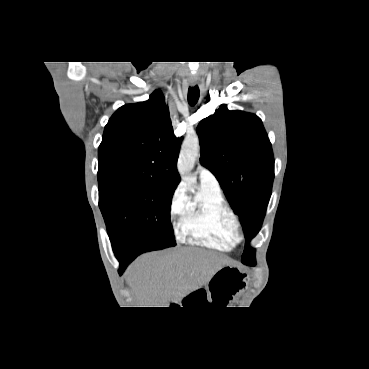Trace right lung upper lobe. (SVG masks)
<instances>
[{
  "label": "right lung upper lobe",
  "instance_id": "1",
  "mask_svg": "<svg viewBox=\"0 0 369 369\" xmlns=\"http://www.w3.org/2000/svg\"><path fill=\"white\" fill-rule=\"evenodd\" d=\"M179 149L165 99L156 90L148 101L124 105L109 119L98 149V170L138 173L176 188Z\"/></svg>",
  "mask_w": 369,
  "mask_h": 369
}]
</instances>
